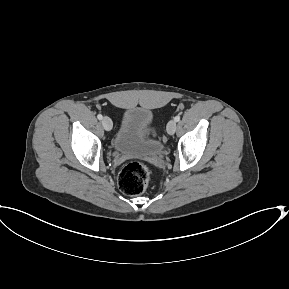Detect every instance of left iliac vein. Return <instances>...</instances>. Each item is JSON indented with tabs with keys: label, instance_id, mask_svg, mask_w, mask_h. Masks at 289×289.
<instances>
[{
	"label": "left iliac vein",
	"instance_id": "1",
	"mask_svg": "<svg viewBox=\"0 0 289 289\" xmlns=\"http://www.w3.org/2000/svg\"><path fill=\"white\" fill-rule=\"evenodd\" d=\"M176 121L175 120H170L167 124V132L169 135H173L176 131Z\"/></svg>",
	"mask_w": 289,
	"mask_h": 289
}]
</instances>
